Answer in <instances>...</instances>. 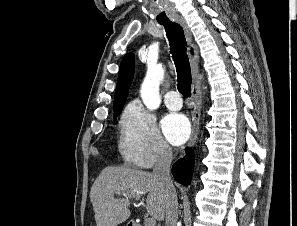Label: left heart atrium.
Listing matches in <instances>:
<instances>
[{
  "mask_svg": "<svg viewBox=\"0 0 297 226\" xmlns=\"http://www.w3.org/2000/svg\"><path fill=\"white\" fill-rule=\"evenodd\" d=\"M161 126L165 137L173 145H181L189 137L190 124L182 114H168L162 120Z\"/></svg>",
  "mask_w": 297,
  "mask_h": 226,
  "instance_id": "obj_1",
  "label": "left heart atrium"
}]
</instances>
